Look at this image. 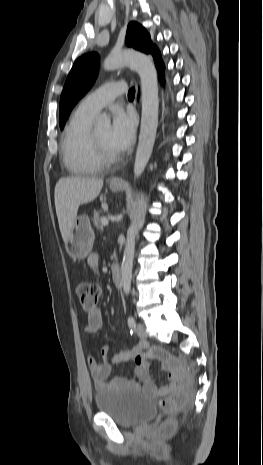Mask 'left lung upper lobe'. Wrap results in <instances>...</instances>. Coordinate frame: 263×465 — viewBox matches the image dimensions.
<instances>
[{"mask_svg":"<svg viewBox=\"0 0 263 465\" xmlns=\"http://www.w3.org/2000/svg\"><path fill=\"white\" fill-rule=\"evenodd\" d=\"M126 44L146 54L152 53L157 48L152 44L147 30L137 22L128 24ZM98 65L99 56L96 53L84 54L75 61L61 93L59 117L61 128L72 108L92 87L97 76Z\"/></svg>","mask_w":263,"mask_h":465,"instance_id":"5c2ea615","label":"left lung upper lobe"}]
</instances>
